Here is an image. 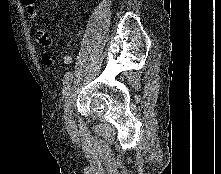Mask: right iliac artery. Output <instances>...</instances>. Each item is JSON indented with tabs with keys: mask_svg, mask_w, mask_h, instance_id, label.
Returning a JSON list of instances; mask_svg holds the SVG:
<instances>
[{
	"mask_svg": "<svg viewBox=\"0 0 221 174\" xmlns=\"http://www.w3.org/2000/svg\"><path fill=\"white\" fill-rule=\"evenodd\" d=\"M72 73L71 72H67L64 75V80H63V100H66L67 96H68V92L70 89V84L72 81Z\"/></svg>",
	"mask_w": 221,
	"mask_h": 174,
	"instance_id": "82829eb1",
	"label": "right iliac artery"
}]
</instances>
